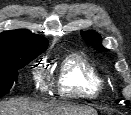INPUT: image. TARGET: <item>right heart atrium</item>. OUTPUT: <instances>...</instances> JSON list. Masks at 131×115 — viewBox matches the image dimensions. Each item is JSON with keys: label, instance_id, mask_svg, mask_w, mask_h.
<instances>
[{"label": "right heart atrium", "instance_id": "right-heart-atrium-1", "mask_svg": "<svg viewBox=\"0 0 131 115\" xmlns=\"http://www.w3.org/2000/svg\"><path fill=\"white\" fill-rule=\"evenodd\" d=\"M32 79L37 86V88L41 90H45V74L38 67L34 68L31 72Z\"/></svg>", "mask_w": 131, "mask_h": 115}]
</instances>
